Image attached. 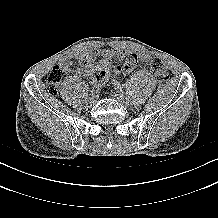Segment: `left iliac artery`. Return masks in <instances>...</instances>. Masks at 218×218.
I'll list each match as a JSON object with an SVG mask.
<instances>
[{"instance_id": "left-iliac-artery-1", "label": "left iliac artery", "mask_w": 218, "mask_h": 218, "mask_svg": "<svg viewBox=\"0 0 218 218\" xmlns=\"http://www.w3.org/2000/svg\"><path fill=\"white\" fill-rule=\"evenodd\" d=\"M118 89H119V91H120L121 93H125V92H126V89L123 88L122 85H119V86H118Z\"/></svg>"}]
</instances>
